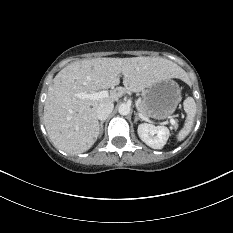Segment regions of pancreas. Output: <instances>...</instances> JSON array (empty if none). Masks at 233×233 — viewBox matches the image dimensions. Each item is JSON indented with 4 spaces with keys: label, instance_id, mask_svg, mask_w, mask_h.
<instances>
[{
    "label": "pancreas",
    "instance_id": "1",
    "mask_svg": "<svg viewBox=\"0 0 233 233\" xmlns=\"http://www.w3.org/2000/svg\"><path fill=\"white\" fill-rule=\"evenodd\" d=\"M139 108H140V112H141L143 115H146V110H145V108H144V106H143V102H141V103L139 104Z\"/></svg>",
    "mask_w": 233,
    "mask_h": 233
}]
</instances>
